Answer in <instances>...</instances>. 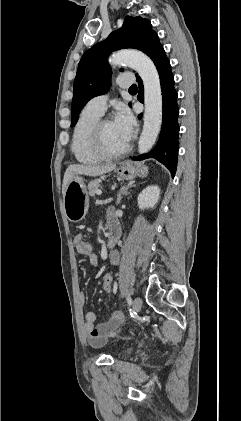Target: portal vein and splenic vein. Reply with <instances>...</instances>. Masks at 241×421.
<instances>
[{
	"instance_id": "obj_1",
	"label": "portal vein and splenic vein",
	"mask_w": 241,
	"mask_h": 421,
	"mask_svg": "<svg viewBox=\"0 0 241 421\" xmlns=\"http://www.w3.org/2000/svg\"><path fill=\"white\" fill-rule=\"evenodd\" d=\"M96 194L97 195H101L102 194V191L101 190H98L97 192H96ZM110 200V199H109Z\"/></svg>"
}]
</instances>
